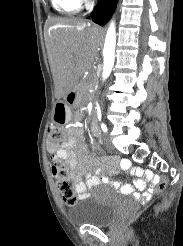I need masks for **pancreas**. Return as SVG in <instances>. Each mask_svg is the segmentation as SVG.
Wrapping results in <instances>:
<instances>
[{
  "label": "pancreas",
  "instance_id": "obj_1",
  "mask_svg": "<svg viewBox=\"0 0 183 246\" xmlns=\"http://www.w3.org/2000/svg\"><path fill=\"white\" fill-rule=\"evenodd\" d=\"M81 88H82V85L79 86V89H81Z\"/></svg>",
  "mask_w": 183,
  "mask_h": 246
}]
</instances>
